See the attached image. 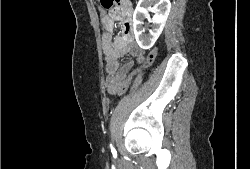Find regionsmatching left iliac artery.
Segmentation results:
<instances>
[{"mask_svg":"<svg viewBox=\"0 0 250 169\" xmlns=\"http://www.w3.org/2000/svg\"><path fill=\"white\" fill-rule=\"evenodd\" d=\"M111 151L114 152L115 149L113 148L112 144H110Z\"/></svg>","mask_w":250,"mask_h":169,"instance_id":"obj_1","label":"left iliac artery"}]
</instances>
